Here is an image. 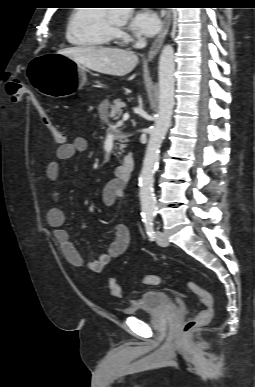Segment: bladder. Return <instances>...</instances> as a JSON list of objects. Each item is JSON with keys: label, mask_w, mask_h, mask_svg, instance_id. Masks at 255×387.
<instances>
[{"label": "bladder", "mask_w": 255, "mask_h": 387, "mask_svg": "<svg viewBox=\"0 0 255 387\" xmlns=\"http://www.w3.org/2000/svg\"><path fill=\"white\" fill-rule=\"evenodd\" d=\"M174 303L169 294L161 291H148L123 310V314L137 316L139 313L158 314L173 308Z\"/></svg>", "instance_id": "1"}]
</instances>
